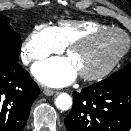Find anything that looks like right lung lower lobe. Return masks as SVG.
Returning a JSON list of instances; mask_svg holds the SVG:
<instances>
[{
	"instance_id": "obj_1",
	"label": "right lung lower lobe",
	"mask_w": 131,
	"mask_h": 131,
	"mask_svg": "<svg viewBox=\"0 0 131 131\" xmlns=\"http://www.w3.org/2000/svg\"><path fill=\"white\" fill-rule=\"evenodd\" d=\"M39 87L20 64L0 66V131H22Z\"/></svg>"
}]
</instances>
